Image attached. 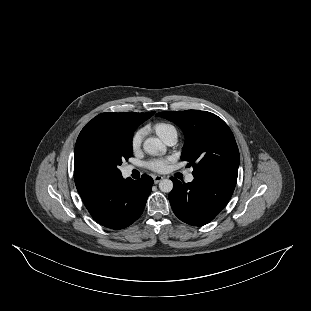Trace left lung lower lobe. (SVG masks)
<instances>
[{"mask_svg":"<svg viewBox=\"0 0 311 311\" xmlns=\"http://www.w3.org/2000/svg\"><path fill=\"white\" fill-rule=\"evenodd\" d=\"M174 187L169 201L175 215L183 222L202 226L212 221L226 206L236 186L237 176L194 177L190 183L171 178Z\"/></svg>","mask_w":311,"mask_h":311,"instance_id":"obj_1","label":"left lung lower lobe"}]
</instances>
